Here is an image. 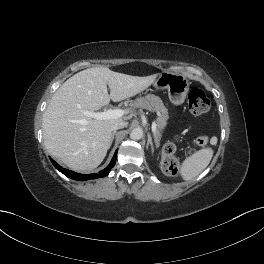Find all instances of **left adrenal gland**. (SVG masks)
Listing matches in <instances>:
<instances>
[{
  "label": "left adrenal gland",
  "mask_w": 264,
  "mask_h": 264,
  "mask_svg": "<svg viewBox=\"0 0 264 264\" xmlns=\"http://www.w3.org/2000/svg\"><path fill=\"white\" fill-rule=\"evenodd\" d=\"M148 140H147V145L146 147L148 148V146L150 145L151 146V149L153 150V141H152V137H151V134L148 133Z\"/></svg>",
  "instance_id": "1"
}]
</instances>
